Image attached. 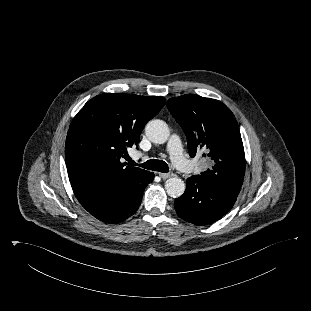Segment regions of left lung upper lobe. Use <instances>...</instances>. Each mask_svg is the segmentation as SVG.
<instances>
[{
  "mask_svg": "<svg viewBox=\"0 0 311 311\" xmlns=\"http://www.w3.org/2000/svg\"><path fill=\"white\" fill-rule=\"evenodd\" d=\"M167 107L183 128L191 157L203 153L210 168L200 176L238 196L245 174V154L238 123L222 102L187 94L168 100Z\"/></svg>",
  "mask_w": 311,
  "mask_h": 311,
  "instance_id": "left-lung-upper-lobe-1",
  "label": "left lung upper lobe"
}]
</instances>
